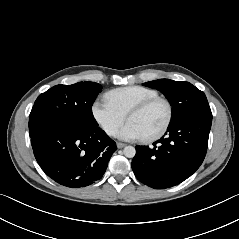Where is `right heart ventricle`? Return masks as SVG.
I'll return each mask as SVG.
<instances>
[{"mask_svg": "<svg viewBox=\"0 0 239 239\" xmlns=\"http://www.w3.org/2000/svg\"><path fill=\"white\" fill-rule=\"evenodd\" d=\"M156 96H159L156 90L136 85L111 90L105 94V99L127 115L139 103Z\"/></svg>", "mask_w": 239, "mask_h": 239, "instance_id": "obj_1", "label": "right heart ventricle"}]
</instances>
